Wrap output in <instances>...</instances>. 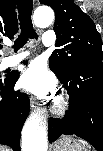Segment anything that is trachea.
Instances as JSON below:
<instances>
[{"mask_svg":"<svg viewBox=\"0 0 103 151\" xmlns=\"http://www.w3.org/2000/svg\"><path fill=\"white\" fill-rule=\"evenodd\" d=\"M17 9L19 13L21 35L15 41V51L22 48L28 39H37V34L31 20L33 0H17Z\"/></svg>","mask_w":103,"mask_h":151,"instance_id":"1","label":"trachea"}]
</instances>
